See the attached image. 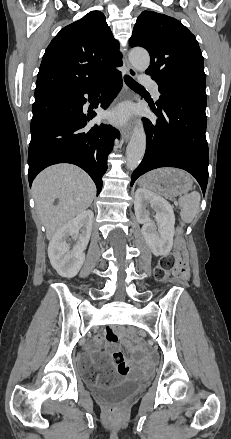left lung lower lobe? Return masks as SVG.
<instances>
[{"instance_id": "left-lung-lower-lobe-1", "label": "left lung lower lobe", "mask_w": 231, "mask_h": 439, "mask_svg": "<svg viewBox=\"0 0 231 439\" xmlns=\"http://www.w3.org/2000/svg\"><path fill=\"white\" fill-rule=\"evenodd\" d=\"M158 117L144 118L147 147L141 164L131 176V186L144 173L160 167H176L192 174L205 194L209 153L206 141L205 89L190 85L159 86Z\"/></svg>"}]
</instances>
